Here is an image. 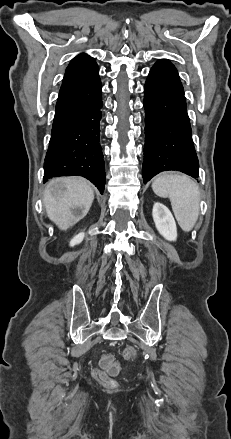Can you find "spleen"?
Listing matches in <instances>:
<instances>
[{
    "mask_svg": "<svg viewBox=\"0 0 231 439\" xmlns=\"http://www.w3.org/2000/svg\"><path fill=\"white\" fill-rule=\"evenodd\" d=\"M154 193L168 197L180 227L188 232L199 215L200 192L197 184L186 175L163 174L152 183Z\"/></svg>",
    "mask_w": 231,
    "mask_h": 439,
    "instance_id": "3e777b00",
    "label": "spleen"
}]
</instances>
